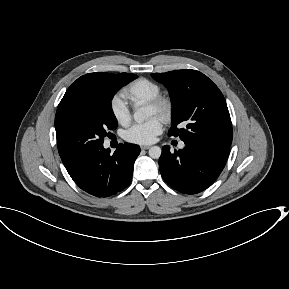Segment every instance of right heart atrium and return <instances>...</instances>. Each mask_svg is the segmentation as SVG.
<instances>
[{
  "label": "right heart atrium",
  "instance_id": "obj_1",
  "mask_svg": "<svg viewBox=\"0 0 289 289\" xmlns=\"http://www.w3.org/2000/svg\"><path fill=\"white\" fill-rule=\"evenodd\" d=\"M110 111L114 119L121 125H128L131 122L132 114L124 99L114 97L110 102Z\"/></svg>",
  "mask_w": 289,
  "mask_h": 289
}]
</instances>
